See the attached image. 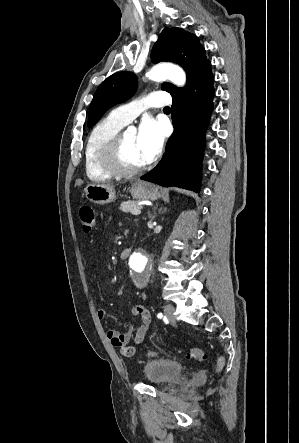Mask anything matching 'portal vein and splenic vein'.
Instances as JSON below:
<instances>
[{"label":"portal vein and splenic vein","mask_w":299,"mask_h":443,"mask_svg":"<svg viewBox=\"0 0 299 443\" xmlns=\"http://www.w3.org/2000/svg\"><path fill=\"white\" fill-rule=\"evenodd\" d=\"M131 214L135 215V216L140 215L141 214V210L140 209H134V210L131 211Z\"/></svg>","instance_id":"1"}]
</instances>
